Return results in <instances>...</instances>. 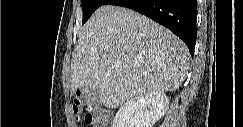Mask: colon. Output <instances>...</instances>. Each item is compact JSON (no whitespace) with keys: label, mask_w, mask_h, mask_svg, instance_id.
Here are the masks:
<instances>
[{"label":"colon","mask_w":243,"mask_h":127,"mask_svg":"<svg viewBox=\"0 0 243 127\" xmlns=\"http://www.w3.org/2000/svg\"><path fill=\"white\" fill-rule=\"evenodd\" d=\"M72 108L77 121L83 119L91 127H104L107 122V111L84 101L83 97L76 95L72 101Z\"/></svg>","instance_id":"colon-1"}]
</instances>
